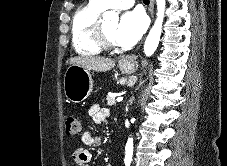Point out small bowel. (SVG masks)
Returning <instances> with one entry per match:
<instances>
[{"instance_id":"obj_1","label":"small bowel","mask_w":227,"mask_h":166,"mask_svg":"<svg viewBox=\"0 0 227 166\" xmlns=\"http://www.w3.org/2000/svg\"><path fill=\"white\" fill-rule=\"evenodd\" d=\"M89 115L92 117L94 122L103 124L109 119L110 111L109 109L102 107L100 104L95 103L91 105ZM81 141L83 146L75 149L73 152V159L79 166H91L92 153L86 147H99L100 139L90 131H84L81 135Z\"/></svg>"}]
</instances>
